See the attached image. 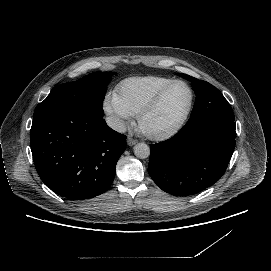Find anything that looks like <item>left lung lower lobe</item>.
I'll use <instances>...</instances> for the list:
<instances>
[{
  "instance_id": "left-lung-lower-lobe-1",
  "label": "left lung lower lobe",
  "mask_w": 271,
  "mask_h": 271,
  "mask_svg": "<svg viewBox=\"0 0 271 271\" xmlns=\"http://www.w3.org/2000/svg\"><path fill=\"white\" fill-rule=\"evenodd\" d=\"M235 118L201 115L190 119L172 138L151 145L148 172L165 192L196 194L216 183L235 148Z\"/></svg>"
}]
</instances>
